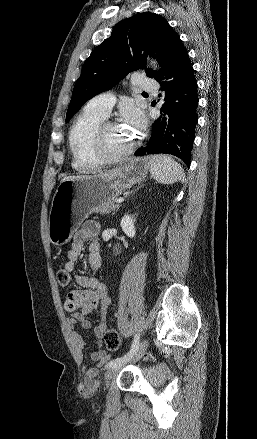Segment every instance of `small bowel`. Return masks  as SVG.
I'll return each mask as SVG.
<instances>
[{"label": "small bowel", "mask_w": 257, "mask_h": 439, "mask_svg": "<svg viewBox=\"0 0 257 439\" xmlns=\"http://www.w3.org/2000/svg\"><path fill=\"white\" fill-rule=\"evenodd\" d=\"M100 231V226L95 221H87L74 234L70 249L67 252V261L64 264V270L69 274L75 271L77 260L84 248L88 244V262L93 271H98L101 266L100 246L96 237ZM76 283L80 289L68 292L64 308L71 313L70 327L71 338L82 355L85 349V341L82 336L75 330V325H80L82 329H89L91 322L86 318L87 315L97 311L100 315V322L95 326L94 333L97 338V348L90 354V359L96 364H105L110 356L101 348L103 334L107 329L105 322V313L110 305L111 299L108 294L106 284L96 276L77 274ZM96 373L95 368H90L85 373V379L91 378Z\"/></svg>", "instance_id": "obj_1"}]
</instances>
